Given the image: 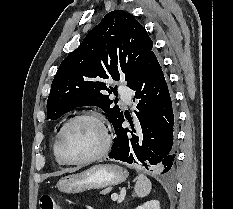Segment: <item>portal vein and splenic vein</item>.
<instances>
[{
	"label": "portal vein and splenic vein",
	"mask_w": 233,
	"mask_h": 209,
	"mask_svg": "<svg viewBox=\"0 0 233 209\" xmlns=\"http://www.w3.org/2000/svg\"><path fill=\"white\" fill-rule=\"evenodd\" d=\"M111 199L114 200V201L118 200L119 199L118 194H112Z\"/></svg>",
	"instance_id": "portal-vein-and-splenic-vein-1"
}]
</instances>
